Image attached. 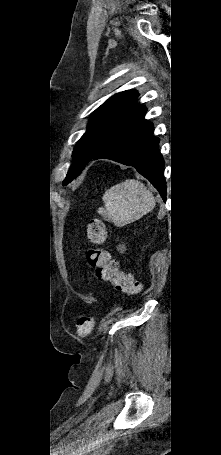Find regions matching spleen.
<instances>
[{
	"label": "spleen",
	"instance_id": "spleen-1",
	"mask_svg": "<svg viewBox=\"0 0 221 455\" xmlns=\"http://www.w3.org/2000/svg\"><path fill=\"white\" fill-rule=\"evenodd\" d=\"M102 200L105 208H99L98 212L118 227L140 219L155 206L153 194L135 179L112 186L104 193Z\"/></svg>",
	"mask_w": 221,
	"mask_h": 455
}]
</instances>
